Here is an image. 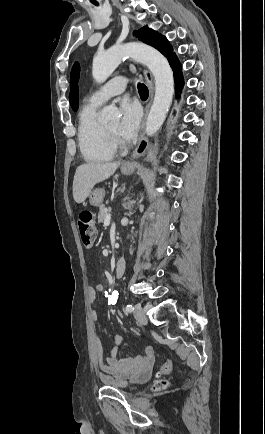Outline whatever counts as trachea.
<instances>
[{
	"instance_id": "trachea-1",
	"label": "trachea",
	"mask_w": 265,
	"mask_h": 434,
	"mask_svg": "<svg viewBox=\"0 0 265 434\" xmlns=\"http://www.w3.org/2000/svg\"><path fill=\"white\" fill-rule=\"evenodd\" d=\"M138 92L141 96H145L148 94V88L143 83L138 84Z\"/></svg>"
}]
</instances>
